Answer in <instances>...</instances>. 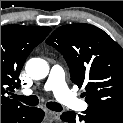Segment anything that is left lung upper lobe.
<instances>
[{
	"label": "left lung upper lobe",
	"mask_w": 123,
	"mask_h": 123,
	"mask_svg": "<svg viewBox=\"0 0 123 123\" xmlns=\"http://www.w3.org/2000/svg\"><path fill=\"white\" fill-rule=\"evenodd\" d=\"M65 58L71 80L85 86L89 106L123 114V50L103 30L90 24L57 28L46 40Z\"/></svg>",
	"instance_id": "1"
}]
</instances>
